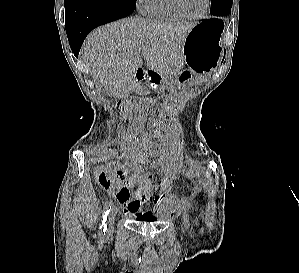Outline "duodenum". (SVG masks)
Segmentation results:
<instances>
[{
	"mask_svg": "<svg viewBox=\"0 0 299 273\" xmlns=\"http://www.w3.org/2000/svg\"><path fill=\"white\" fill-rule=\"evenodd\" d=\"M156 79V76L153 72L149 70H144L143 68H138L135 72V80L137 82H144L147 80L154 81Z\"/></svg>",
	"mask_w": 299,
	"mask_h": 273,
	"instance_id": "duodenum-1",
	"label": "duodenum"
}]
</instances>
